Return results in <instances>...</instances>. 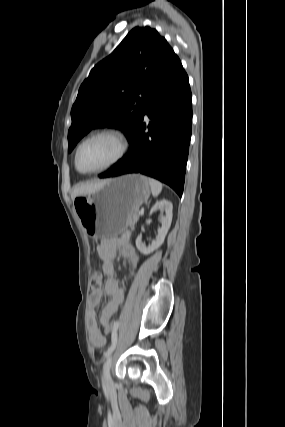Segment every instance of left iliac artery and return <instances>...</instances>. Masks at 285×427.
Masks as SVG:
<instances>
[{
  "label": "left iliac artery",
  "mask_w": 285,
  "mask_h": 427,
  "mask_svg": "<svg viewBox=\"0 0 285 427\" xmlns=\"http://www.w3.org/2000/svg\"><path fill=\"white\" fill-rule=\"evenodd\" d=\"M117 333H116V331L112 334V342H111V345H110V347L107 349V351L104 353V357L106 358L107 356H109L111 353H112V351L115 349V347H116V344H117Z\"/></svg>",
  "instance_id": "obj_1"
}]
</instances>
